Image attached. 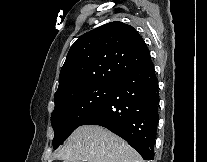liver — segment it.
Segmentation results:
<instances>
[{
	"label": "liver",
	"instance_id": "liver-1",
	"mask_svg": "<svg viewBox=\"0 0 207 162\" xmlns=\"http://www.w3.org/2000/svg\"><path fill=\"white\" fill-rule=\"evenodd\" d=\"M55 158L64 162H144L125 140L99 125L78 127Z\"/></svg>",
	"mask_w": 207,
	"mask_h": 162
}]
</instances>
